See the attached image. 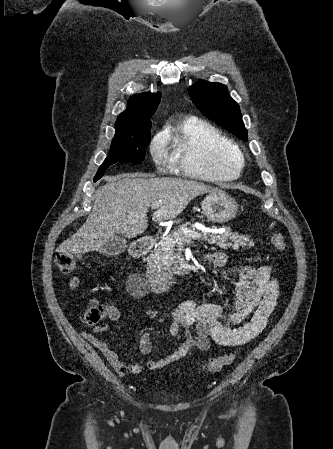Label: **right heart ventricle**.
Segmentation results:
<instances>
[{"mask_svg":"<svg viewBox=\"0 0 333 449\" xmlns=\"http://www.w3.org/2000/svg\"><path fill=\"white\" fill-rule=\"evenodd\" d=\"M172 168L204 181L232 180L240 176L244 159L234 142L216 126L186 119L167 138Z\"/></svg>","mask_w":333,"mask_h":449,"instance_id":"1","label":"right heart ventricle"}]
</instances>
